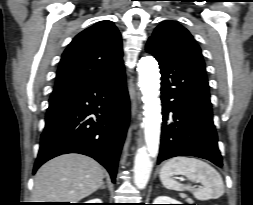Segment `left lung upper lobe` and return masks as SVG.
<instances>
[{
  "instance_id": "5c2ea615",
  "label": "left lung upper lobe",
  "mask_w": 253,
  "mask_h": 205,
  "mask_svg": "<svg viewBox=\"0 0 253 205\" xmlns=\"http://www.w3.org/2000/svg\"><path fill=\"white\" fill-rule=\"evenodd\" d=\"M160 47L174 52L198 65L205 72L201 49L182 25L167 20L161 23L149 38Z\"/></svg>"
}]
</instances>
